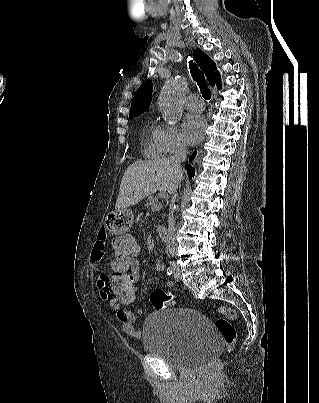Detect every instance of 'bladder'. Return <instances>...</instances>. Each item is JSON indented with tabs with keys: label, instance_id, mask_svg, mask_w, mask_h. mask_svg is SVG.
<instances>
[{
	"label": "bladder",
	"instance_id": "31cf9c89",
	"mask_svg": "<svg viewBox=\"0 0 319 403\" xmlns=\"http://www.w3.org/2000/svg\"><path fill=\"white\" fill-rule=\"evenodd\" d=\"M143 342L149 354L186 372L205 365L221 345L209 318L185 309L152 312L144 324Z\"/></svg>",
	"mask_w": 319,
	"mask_h": 403
}]
</instances>
